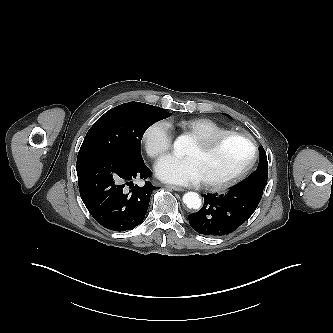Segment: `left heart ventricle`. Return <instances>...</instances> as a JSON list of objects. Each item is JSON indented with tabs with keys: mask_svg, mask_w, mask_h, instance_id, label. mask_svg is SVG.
Returning <instances> with one entry per match:
<instances>
[{
	"mask_svg": "<svg viewBox=\"0 0 333 333\" xmlns=\"http://www.w3.org/2000/svg\"><path fill=\"white\" fill-rule=\"evenodd\" d=\"M186 156L196 161L203 181L217 182L232 176L245 165L249 148L237 138L229 139L211 151H203L194 142Z\"/></svg>",
	"mask_w": 333,
	"mask_h": 333,
	"instance_id": "b2bd125f",
	"label": "left heart ventricle"
}]
</instances>
